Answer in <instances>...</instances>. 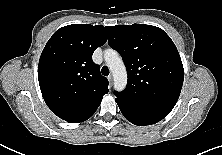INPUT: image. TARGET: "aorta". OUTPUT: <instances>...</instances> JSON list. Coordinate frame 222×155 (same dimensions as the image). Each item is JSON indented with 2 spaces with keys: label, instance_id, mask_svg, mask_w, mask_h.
<instances>
[{
  "label": "aorta",
  "instance_id": "1",
  "mask_svg": "<svg viewBox=\"0 0 222 155\" xmlns=\"http://www.w3.org/2000/svg\"><path fill=\"white\" fill-rule=\"evenodd\" d=\"M104 59L114 78V88L122 91L127 84V72L119 54L112 49L105 50Z\"/></svg>",
  "mask_w": 222,
  "mask_h": 155
}]
</instances>
